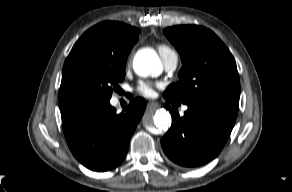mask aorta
I'll return each mask as SVG.
<instances>
[{
    "mask_svg": "<svg viewBox=\"0 0 292 192\" xmlns=\"http://www.w3.org/2000/svg\"><path fill=\"white\" fill-rule=\"evenodd\" d=\"M133 69L141 77L159 75L162 72V63L157 53L152 49H142L138 51L133 60ZM147 129L167 130L171 124V115L165 109H159L154 116L144 120Z\"/></svg>",
    "mask_w": 292,
    "mask_h": 192,
    "instance_id": "obj_1",
    "label": "aorta"
}]
</instances>
